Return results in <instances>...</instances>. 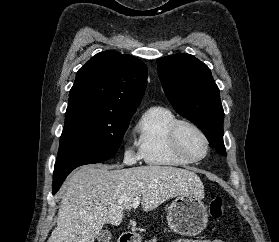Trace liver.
<instances>
[{
    "mask_svg": "<svg viewBox=\"0 0 279 242\" xmlns=\"http://www.w3.org/2000/svg\"><path fill=\"white\" fill-rule=\"evenodd\" d=\"M179 195L204 196L194 172L156 165L83 166L62 185L57 227L47 242H94L104 224L122 222L134 198H141L143 211H151Z\"/></svg>",
    "mask_w": 279,
    "mask_h": 242,
    "instance_id": "liver-1",
    "label": "liver"
}]
</instances>
